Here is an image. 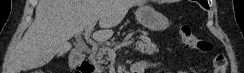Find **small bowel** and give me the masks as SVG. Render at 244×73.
<instances>
[{
  "label": "small bowel",
  "mask_w": 244,
  "mask_h": 73,
  "mask_svg": "<svg viewBox=\"0 0 244 73\" xmlns=\"http://www.w3.org/2000/svg\"><path fill=\"white\" fill-rule=\"evenodd\" d=\"M153 65L144 62L139 61L136 62L131 69V73H145L148 69L152 68ZM179 73H186L185 71H180Z\"/></svg>",
  "instance_id": "small-bowel-1"
}]
</instances>
